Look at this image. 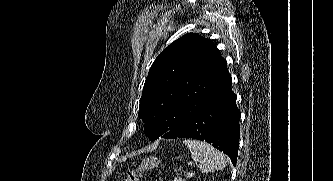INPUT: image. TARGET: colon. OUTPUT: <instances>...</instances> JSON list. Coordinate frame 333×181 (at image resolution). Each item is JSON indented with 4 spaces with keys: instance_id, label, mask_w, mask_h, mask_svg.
I'll return each mask as SVG.
<instances>
[{
    "instance_id": "1",
    "label": "colon",
    "mask_w": 333,
    "mask_h": 181,
    "mask_svg": "<svg viewBox=\"0 0 333 181\" xmlns=\"http://www.w3.org/2000/svg\"><path fill=\"white\" fill-rule=\"evenodd\" d=\"M162 164V159L158 156L144 158L135 168L127 171L126 176L121 181H139L146 171L154 170Z\"/></svg>"
}]
</instances>
